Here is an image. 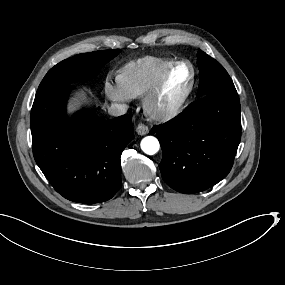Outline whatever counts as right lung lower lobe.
<instances>
[{
    "mask_svg": "<svg viewBox=\"0 0 285 285\" xmlns=\"http://www.w3.org/2000/svg\"><path fill=\"white\" fill-rule=\"evenodd\" d=\"M69 84L35 97L31 110L35 161L64 198L94 204L111 199L121 188L120 157L134 139L131 115L102 121L83 113L69 122L66 102Z\"/></svg>",
    "mask_w": 285,
    "mask_h": 285,
    "instance_id": "1",
    "label": "right lung lower lobe"
}]
</instances>
